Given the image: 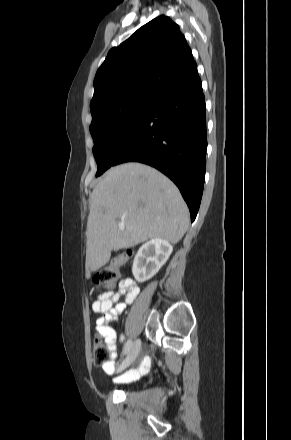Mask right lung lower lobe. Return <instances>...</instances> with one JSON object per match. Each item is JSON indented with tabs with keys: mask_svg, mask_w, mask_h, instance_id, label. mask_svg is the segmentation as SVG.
Instances as JSON below:
<instances>
[{
	"mask_svg": "<svg viewBox=\"0 0 291 440\" xmlns=\"http://www.w3.org/2000/svg\"><path fill=\"white\" fill-rule=\"evenodd\" d=\"M197 68L163 88L141 126L112 162H141L160 170L179 188L191 221L197 215L206 169V117Z\"/></svg>",
	"mask_w": 291,
	"mask_h": 440,
	"instance_id": "98d812e1",
	"label": "right lung lower lobe"
}]
</instances>
